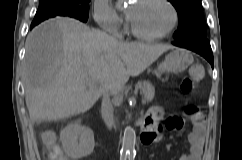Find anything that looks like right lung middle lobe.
I'll return each instance as SVG.
<instances>
[{"label":"right lung middle lobe","mask_w":242,"mask_h":160,"mask_svg":"<svg viewBox=\"0 0 242 160\" xmlns=\"http://www.w3.org/2000/svg\"><path fill=\"white\" fill-rule=\"evenodd\" d=\"M91 0H39V7L31 25L55 16H68L86 22Z\"/></svg>","instance_id":"right-lung-middle-lobe-1"}]
</instances>
